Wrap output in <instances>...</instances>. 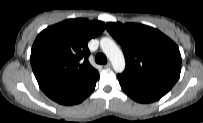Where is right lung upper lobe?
<instances>
[{
    "mask_svg": "<svg viewBox=\"0 0 203 123\" xmlns=\"http://www.w3.org/2000/svg\"><path fill=\"white\" fill-rule=\"evenodd\" d=\"M105 29L98 20L68 19L40 32L31 50V66L42 90L85 82L98 76L88 57L87 43Z\"/></svg>",
    "mask_w": 203,
    "mask_h": 123,
    "instance_id": "cb5924a9",
    "label": "right lung upper lobe"
}]
</instances>
